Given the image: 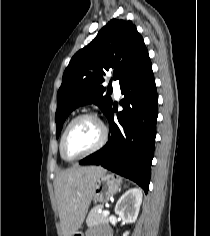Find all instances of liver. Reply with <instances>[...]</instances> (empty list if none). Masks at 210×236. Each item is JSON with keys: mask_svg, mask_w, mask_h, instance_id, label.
<instances>
[{"mask_svg": "<svg viewBox=\"0 0 210 236\" xmlns=\"http://www.w3.org/2000/svg\"><path fill=\"white\" fill-rule=\"evenodd\" d=\"M105 172L103 167L75 166L56 177L55 193L63 236H73L81 227L95 182Z\"/></svg>", "mask_w": 210, "mask_h": 236, "instance_id": "6515ba94", "label": "liver"}]
</instances>
